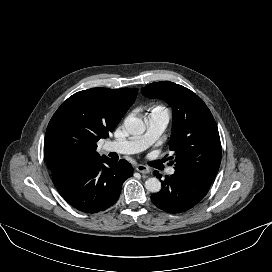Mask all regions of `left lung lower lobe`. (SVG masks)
<instances>
[{"mask_svg":"<svg viewBox=\"0 0 272 272\" xmlns=\"http://www.w3.org/2000/svg\"><path fill=\"white\" fill-rule=\"evenodd\" d=\"M157 178L161 174L154 172ZM212 181L175 169L171 176H165L162 189L151 195L152 202L161 210L169 213H182L193 208L207 194Z\"/></svg>","mask_w":272,"mask_h":272,"instance_id":"1","label":"left lung lower lobe"}]
</instances>
